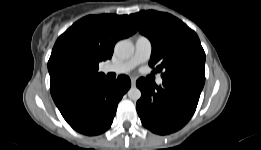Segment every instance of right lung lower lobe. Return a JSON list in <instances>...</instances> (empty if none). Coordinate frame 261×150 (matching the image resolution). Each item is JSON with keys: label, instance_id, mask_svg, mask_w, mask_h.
<instances>
[{"label": "right lung lower lobe", "instance_id": "1", "mask_svg": "<svg viewBox=\"0 0 261 150\" xmlns=\"http://www.w3.org/2000/svg\"><path fill=\"white\" fill-rule=\"evenodd\" d=\"M131 86L129 77L101 82L73 91L56 101L67 123L85 135H98L112 124L117 105Z\"/></svg>", "mask_w": 261, "mask_h": 150}]
</instances>
